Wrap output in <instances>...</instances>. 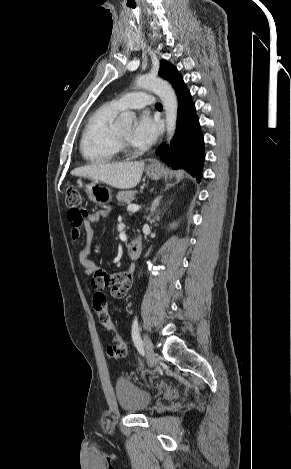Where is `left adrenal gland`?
<instances>
[{
	"mask_svg": "<svg viewBox=\"0 0 291 469\" xmlns=\"http://www.w3.org/2000/svg\"><path fill=\"white\" fill-rule=\"evenodd\" d=\"M162 196H159L155 199L153 205H152V209H151V213L153 214V212H155L156 208L159 206V202L161 200Z\"/></svg>",
	"mask_w": 291,
	"mask_h": 469,
	"instance_id": "left-adrenal-gland-1",
	"label": "left adrenal gland"
}]
</instances>
